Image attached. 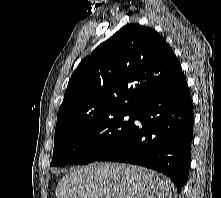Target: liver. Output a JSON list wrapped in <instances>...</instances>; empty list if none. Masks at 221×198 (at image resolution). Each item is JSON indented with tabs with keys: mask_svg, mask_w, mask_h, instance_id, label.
<instances>
[{
	"mask_svg": "<svg viewBox=\"0 0 221 198\" xmlns=\"http://www.w3.org/2000/svg\"><path fill=\"white\" fill-rule=\"evenodd\" d=\"M172 198L170 181L155 171L121 163H93L63 176L57 198Z\"/></svg>",
	"mask_w": 221,
	"mask_h": 198,
	"instance_id": "obj_1",
	"label": "liver"
}]
</instances>
